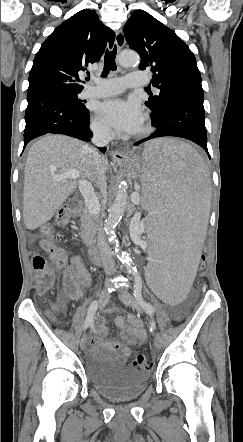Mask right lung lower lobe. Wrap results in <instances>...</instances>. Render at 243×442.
<instances>
[{
    "mask_svg": "<svg viewBox=\"0 0 243 442\" xmlns=\"http://www.w3.org/2000/svg\"><path fill=\"white\" fill-rule=\"evenodd\" d=\"M24 148L34 138L57 133L89 141V111L82 112L67 94L56 89H42L27 93ZM105 153L106 148H100Z\"/></svg>",
    "mask_w": 243,
    "mask_h": 442,
    "instance_id": "1",
    "label": "right lung lower lobe"
}]
</instances>
